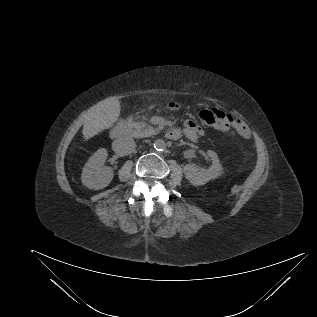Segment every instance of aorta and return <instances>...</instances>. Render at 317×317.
Segmentation results:
<instances>
[{
	"instance_id": "aorta-1",
	"label": "aorta",
	"mask_w": 317,
	"mask_h": 317,
	"mask_svg": "<svg viewBox=\"0 0 317 317\" xmlns=\"http://www.w3.org/2000/svg\"><path fill=\"white\" fill-rule=\"evenodd\" d=\"M165 147H166V143H165L164 140H162V139H157V140H155V142H154V148H155L156 150L162 151V150L165 149Z\"/></svg>"
}]
</instances>
